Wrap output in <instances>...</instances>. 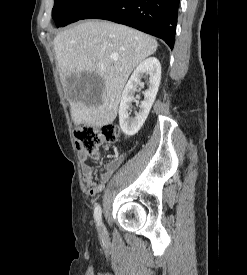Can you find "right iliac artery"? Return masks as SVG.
I'll use <instances>...</instances> for the list:
<instances>
[{
  "mask_svg": "<svg viewBox=\"0 0 247 275\" xmlns=\"http://www.w3.org/2000/svg\"><path fill=\"white\" fill-rule=\"evenodd\" d=\"M94 218L95 221L97 222V225H101V207L100 205H96L94 209Z\"/></svg>",
  "mask_w": 247,
  "mask_h": 275,
  "instance_id": "82829eb1",
  "label": "right iliac artery"
}]
</instances>
